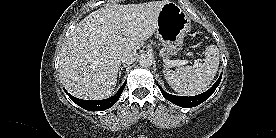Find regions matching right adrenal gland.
I'll use <instances>...</instances> for the list:
<instances>
[{"label": "right adrenal gland", "mask_w": 276, "mask_h": 138, "mask_svg": "<svg viewBox=\"0 0 276 138\" xmlns=\"http://www.w3.org/2000/svg\"><path fill=\"white\" fill-rule=\"evenodd\" d=\"M126 67H127V65H123L119 68V73H118L119 78L121 77V72H122L123 68H126Z\"/></svg>", "instance_id": "2a0ac1e0"}]
</instances>
